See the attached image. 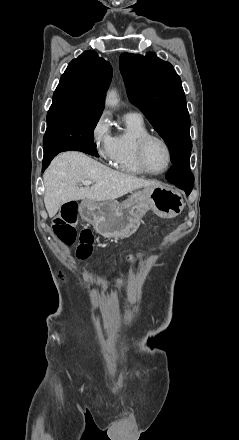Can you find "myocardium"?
Instances as JSON below:
<instances>
[{
  "label": "myocardium",
  "instance_id": "myocardium-1",
  "mask_svg": "<svg viewBox=\"0 0 239 440\" xmlns=\"http://www.w3.org/2000/svg\"><path fill=\"white\" fill-rule=\"evenodd\" d=\"M152 140L160 141L165 146V148L167 150L168 164H167V167L161 172L152 171L149 168L147 161H146V147H147L148 143ZM135 152H136V157H137V160H138L140 167L148 175L155 176V177L162 176V175L166 174L172 166L173 152H172L171 145L167 141V139H165L163 136H161L159 134L148 132L146 134L141 135L136 141Z\"/></svg>",
  "mask_w": 239,
  "mask_h": 440
}]
</instances>
